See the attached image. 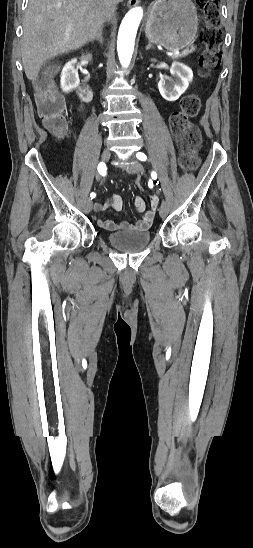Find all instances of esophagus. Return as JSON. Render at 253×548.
<instances>
[{
	"label": "esophagus",
	"mask_w": 253,
	"mask_h": 548,
	"mask_svg": "<svg viewBox=\"0 0 253 548\" xmlns=\"http://www.w3.org/2000/svg\"><path fill=\"white\" fill-rule=\"evenodd\" d=\"M139 3V0H128L127 5L128 7H134Z\"/></svg>",
	"instance_id": "esophagus-1"
}]
</instances>
